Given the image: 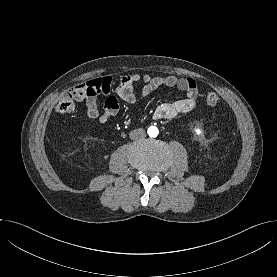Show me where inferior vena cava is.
<instances>
[{"instance_id": "obj_1", "label": "inferior vena cava", "mask_w": 277, "mask_h": 277, "mask_svg": "<svg viewBox=\"0 0 277 277\" xmlns=\"http://www.w3.org/2000/svg\"><path fill=\"white\" fill-rule=\"evenodd\" d=\"M132 140L143 139L146 136L145 130L142 128L132 130L129 134Z\"/></svg>"}]
</instances>
